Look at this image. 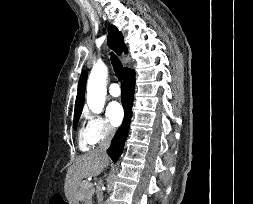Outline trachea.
I'll use <instances>...</instances> for the list:
<instances>
[{
	"label": "trachea",
	"mask_w": 253,
	"mask_h": 204,
	"mask_svg": "<svg viewBox=\"0 0 253 204\" xmlns=\"http://www.w3.org/2000/svg\"><path fill=\"white\" fill-rule=\"evenodd\" d=\"M111 60H112V64H113V68H114V72H115L116 77L119 80H122V76H123L122 63L120 62V60L115 55L111 56Z\"/></svg>",
	"instance_id": "3493384b"
}]
</instances>
